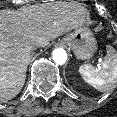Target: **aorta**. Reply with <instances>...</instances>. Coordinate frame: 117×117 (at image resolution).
Wrapping results in <instances>:
<instances>
[{
    "label": "aorta",
    "mask_w": 117,
    "mask_h": 117,
    "mask_svg": "<svg viewBox=\"0 0 117 117\" xmlns=\"http://www.w3.org/2000/svg\"><path fill=\"white\" fill-rule=\"evenodd\" d=\"M52 59L56 64H64L67 60V53L62 48H57L52 52Z\"/></svg>",
    "instance_id": "obj_1"
}]
</instances>
